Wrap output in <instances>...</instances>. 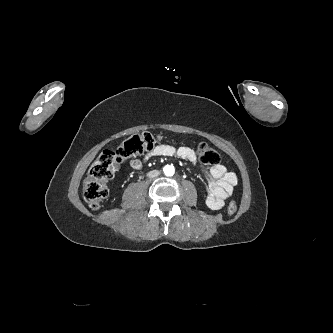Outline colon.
Here are the masks:
<instances>
[{
  "label": "colon",
  "mask_w": 333,
  "mask_h": 333,
  "mask_svg": "<svg viewBox=\"0 0 333 333\" xmlns=\"http://www.w3.org/2000/svg\"><path fill=\"white\" fill-rule=\"evenodd\" d=\"M160 141V137L150 132H142L129 136L116 149L104 150L93 163L83 184V195L89 206L97 210L107 196V182L112 178L121 163L152 150ZM199 160L206 165H217L219 154L206 143L200 142L196 148ZM238 206L231 202L227 212L233 215Z\"/></svg>",
  "instance_id": "5ec220e1"
}]
</instances>
